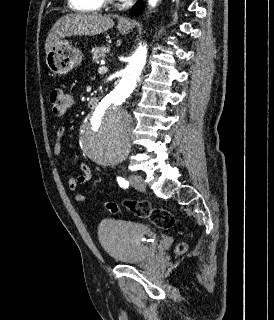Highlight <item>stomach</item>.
Returning <instances> with one entry per match:
<instances>
[{"instance_id":"stomach-1","label":"stomach","mask_w":274,"mask_h":320,"mask_svg":"<svg viewBox=\"0 0 274 320\" xmlns=\"http://www.w3.org/2000/svg\"><path fill=\"white\" fill-rule=\"evenodd\" d=\"M120 34H129L133 28H136L135 22L131 26H117ZM83 60V56L77 48L71 46L67 40H60L57 46L50 48V52L46 54V64L57 76H64L71 72L75 66H79Z\"/></svg>"}]
</instances>
